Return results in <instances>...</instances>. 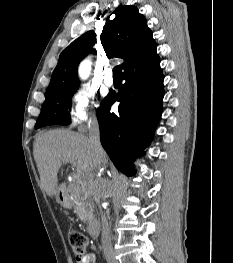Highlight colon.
Masks as SVG:
<instances>
[{
    "instance_id": "5ec220e1",
    "label": "colon",
    "mask_w": 233,
    "mask_h": 263,
    "mask_svg": "<svg viewBox=\"0 0 233 263\" xmlns=\"http://www.w3.org/2000/svg\"><path fill=\"white\" fill-rule=\"evenodd\" d=\"M68 240L75 259L80 260L83 258L88 247V239L85 234L78 230H70L68 232Z\"/></svg>"
}]
</instances>
